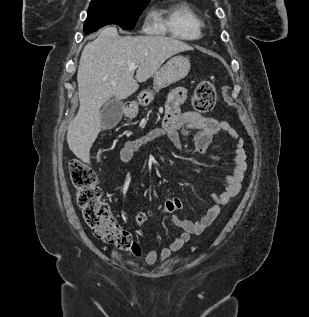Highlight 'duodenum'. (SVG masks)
I'll return each instance as SVG.
<instances>
[{
    "mask_svg": "<svg viewBox=\"0 0 309 317\" xmlns=\"http://www.w3.org/2000/svg\"><path fill=\"white\" fill-rule=\"evenodd\" d=\"M134 112V106L132 104H128L126 107H125V115L126 116H131Z\"/></svg>",
    "mask_w": 309,
    "mask_h": 317,
    "instance_id": "410a0bca",
    "label": "duodenum"
}]
</instances>
